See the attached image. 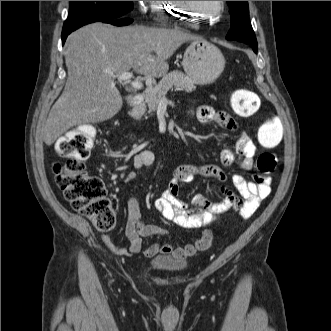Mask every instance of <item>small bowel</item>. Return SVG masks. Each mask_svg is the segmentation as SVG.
I'll use <instances>...</instances> for the list:
<instances>
[{
  "mask_svg": "<svg viewBox=\"0 0 331 331\" xmlns=\"http://www.w3.org/2000/svg\"><path fill=\"white\" fill-rule=\"evenodd\" d=\"M192 113L202 123L214 122L226 130H237L236 122L226 112L215 111L212 107L203 105L193 109ZM255 152L256 146L252 139L246 133H241L234 150L225 148L221 151V166L181 165L177 167L173 171L168 187L155 200V210L164 219L172 221L185 229H198L213 225L222 214L230 210L238 212L243 219L250 218L259 207L260 202L267 198L271 192L270 177L252 174L251 179L247 180L242 175H234L232 182L236 192L225 186H220L218 191L223 196L220 202H212L204 195L198 194L192 198L190 203H187L180 199L179 194L180 185L191 182L197 175L215 178L218 182H223L225 180L224 167L237 164L242 170H252ZM132 161L136 169L149 167L154 162V154L149 150H143L135 154ZM135 178V173H129L126 176V181L132 182ZM125 235L130 243L127 248L114 247L107 237L104 240L114 253L130 256L141 251L143 238L165 236L166 231L156 225H148L142 222L139 200L132 196L127 202ZM212 237V232L205 229L201 238L211 241ZM197 248L193 244L174 247L171 244L155 243L146 248L144 254L147 257L164 254L184 259L194 255Z\"/></svg>",
  "mask_w": 331,
  "mask_h": 331,
  "instance_id": "c3829d8e",
  "label": "small bowel"
}]
</instances>
